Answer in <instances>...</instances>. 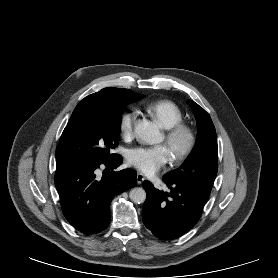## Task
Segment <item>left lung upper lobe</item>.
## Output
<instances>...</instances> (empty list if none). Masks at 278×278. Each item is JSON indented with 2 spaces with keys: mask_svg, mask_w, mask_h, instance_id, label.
Wrapping results in <instances>:
<instances>
[{
  "mask_svg": "<svg viewBox=\"0 0 278 278\" xmlns=\"http://www.w3.org/2000/svg\"><path fill=\"white\" fill-rule=\"evenodd\" d=\"M189 104L198 126L197 143L180 168L164 177L174 182L189 183L212 189L217 175L218 145L216 131L209 114L194 101Z\"/></svg>",
  "mask_w": 278,
  "mask_h": 278,
  "instance_id": "left-lung-upper-lobe-1",
  "label": "left lung upper lobe"
}]
</instances>
